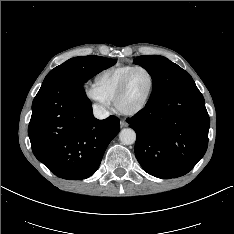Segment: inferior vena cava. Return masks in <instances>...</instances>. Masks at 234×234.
Wrapping results in <instances>:
<instances>
[{
  "instance_id": "inferior-vena-cava-1",
  "label": "inferior vena cava",
  "mask_w": 234,
  "mask_h": 234,
  "mask_svg": "<svg viewBox=\"0 0 234 234\" xmlns=\"http://www.w3.org/2000/svg\"><path fill=\"white\" fill-rule=\"evenodd\" d=\"M93 114L97 119H106L109 117L110 113L102 105L94 104L93 105Z\"/></svg>"
}]
</instances>
